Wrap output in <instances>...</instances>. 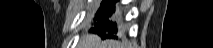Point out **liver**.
Wrapping results in <instances>:
<instances>
[{"mask_svg": "<svg viewBox=\"0 0 213 48\" xmlns=\"http://www.w3.org/2000/svg\"><path fill=\"white\" fill-rule=\"evenodd\" d=\"M78 48H121L120 44L113 40H102L98 35H84Z\"/></svg>", "mask_w": 213, "mask_h": 48, "instance_id": "obj_1", "label": "liver"}]
</instances>
